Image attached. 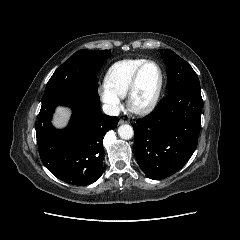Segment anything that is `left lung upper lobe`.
I'll list each match as a JSON object with an SVG mask.
<instances>
[{"label":"left lung upper lobe","mask_w":240,"mask_h":240,"mask_svg":"<svg viewBox=\"0 0 240 240\" xmlns=\"http://www.w3.org/2000/svg\"><path fill=\"white\" fill-rule=\"evenodd\" d=\"M163 59L167 64L168 93L182 88L200 89L199 79L192 67L170 49L165 50Z\"/></svg>","instance_id":"obj_1"}]
</instances>
